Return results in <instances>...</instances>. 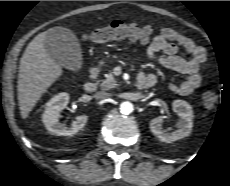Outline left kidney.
<instances>
[{
    "label": "left kidney",
    "mask_w": 230,
    "mask_h": 186,
    "mask_svg": "<svg viewBox=\"0 0 230 186\" xmlns=\"http://www.w3.org/2000/svg\"><path fill=\"white\" fill-rule=\"evenodd\" d=\"M173 111L179 116L176 124L177 129L170 132L162 125L164 116L154 118L150 122L151 132L162 142L171 143L181 138L188 136L193 127V111L192 107L183 100H175L172 103Z\"/></svg>",
    "instance_id": "1"
}]
</instances>
